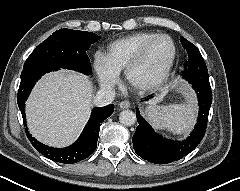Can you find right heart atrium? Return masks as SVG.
<instances>
[{
  "mask_svg": "<svg viewBox=\"0 0 240 191\" xmlns=\"http://www.w3.org/2000/svg\"><path fill=\"white\" fill-rule=\"evenodd\" d=\"M94 70L102 86L113 89L119 82V73L113 68L108 57L97 52L93 61Z\"/></svg>",
  "mask_w": 240,
  "mask_h": 191,
  "instance_id": "obj_1",
  "label": "right heart atrium"
}]
</instances>
